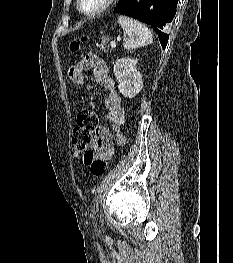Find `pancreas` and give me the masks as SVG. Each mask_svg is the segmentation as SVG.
<instances>
[{
    "instance_id": "pancreas-1",
    "label": "pancreas",
    "mask_w": 233,
    "mask_h": 263,
    "mask_svg": "<svg viewBox=\"0 0 233 263\" xmlns=\"http://www.w3.org/2000/svg\"><path fill=\"white\" fill-rule=\"evenodd\" d=\"M107 42H108V38L106 37L102 38V41L99 44L100 50L102 52H107Z\"/></svg>"
}]
</instances>
